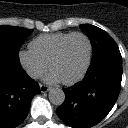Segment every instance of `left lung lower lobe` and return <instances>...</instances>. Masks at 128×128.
I'll use <instances>...</instances> for the list:
<instances>
[{"instance_id":"left-lung-lower-lobe-1","label":"left lung lower lobe","mask_w":128,"mask_h":128,"mask_svg":"<svg viewBox=\"0 0 128 128\" xmlns=\"http://www.w3.org/2000/svg\"><path fill=\"white\" fill-rule=\"evenodd\" d=\"M120 52L105 53L94 60L82 81L64 89L65 101L56 109L59 118L72 128H90L114 106L121 88Z\"/></svg>"}]
</instances>
